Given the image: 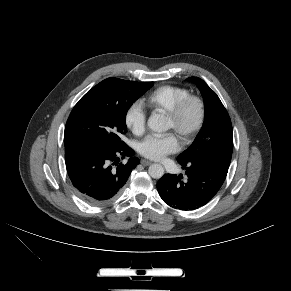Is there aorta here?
Returning <instances> with one entry per match:
<instances>
[{"mask_svg": "<svg viewBox=\"0 0 291 291\" xmlns=\"http://www.w3.org/2000/svg\"><path fill=\"white\" fill-rule=\"evenodd\" d=\"M147 126L154 132H165L168 130L167 121L160 114H153L147 121ZM149 175L154 179H160L164 175V167L161 164H152L148 169Z\"/></svg>", "mask_w": 291, "mask_h": 291, "instance_id": "762f6f07", "label": "aorta"}]
</instances>
